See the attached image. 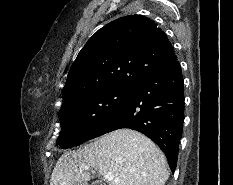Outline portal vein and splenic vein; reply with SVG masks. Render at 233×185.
<instances>
[{
	"label": "portal vein and splenic vein",
	"mask_w": 233,
	"mask_h": 185,
	"mask_svg": "<svg viewBox=\"0 0 233 185\" xmlns=\"http://www.w3.org/2000/svg\"><path fill=\"white\" fill-rule=\"evenodd\" d=\"M80 167L83 168V169H85V170L90 169L89 165H81ZM103 176H104L105 180H107V181L114 180V176L111 173H106Z\"/></svg>",
	"instance_id": "1"
}]
</instances>
